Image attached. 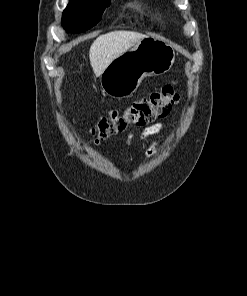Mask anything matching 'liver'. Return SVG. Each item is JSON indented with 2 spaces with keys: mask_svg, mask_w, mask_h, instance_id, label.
I'll use <instances>...</instances> for the list:
<instances>
[{
  "mask_svg": "<svg viewBox=\"0 0 247 296\" xmlns=\"http://www.w3.org/2000/svg\"><path fill=\"white\" fill-rule=\"evenodd\" d=\"M147 36L133 31H113L97 37L89 51L90 63L97 77L108 65Z\"/></svg>",
  "mask_w": 247,
  "mask_h": 296,
  "instance_id": "6515ba94",
  "label": "liver"
}]
</instances>
